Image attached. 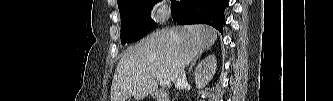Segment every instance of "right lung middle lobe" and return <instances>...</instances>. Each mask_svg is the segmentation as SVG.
<instances>
[{
	"label": "right lung middle lobe",
	"instance_id": "dd1d6c3e",
	"mask_svg": "<svg viewBox=\"0 0 333 101\" xmlns=\"http://www.w3.org/2000/svg\"><path fill=\"white\" fill-rule=\"evenodd\" d=\"M161 0H120L118 3L122 17V44L137 41L156 27L150 17V9Z\"/></svg>",
	"mask_w": 333,
	"mask_h": 101
}]
</instances>
